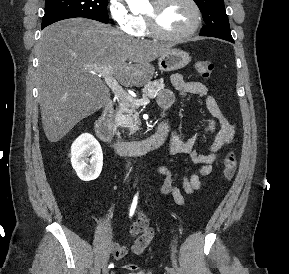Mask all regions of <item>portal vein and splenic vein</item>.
I'll return each mask as SVG.
<instances>
[{"instance_id":"obj_1","label":"portal vein and splenic vein","mask_w":289,"mask_h":274,"mask_svg":"<svg viewBox=\"0 0 289 274\" xmlns=\"http://www.w3.org/2000/svg\"><path fill=\"white\" fill-rule=\"evenodd\" d=\"M93 70L97 72L100 76L104 77L106 84L119 98L134 102L136 105H147L150 103V100L148 98H143L139 100L133 99V97H131L112 76L113 68L111 66H96L93 68Z\"/></svg>"}]
</instances>
